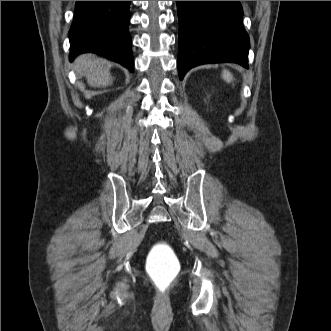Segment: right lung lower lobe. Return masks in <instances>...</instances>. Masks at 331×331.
Instances as JSON below:
<instances>
[{"instance_id": "98d812e1", "label": "right lung lower lobe", "mask_w": 331, "mask_h": 331, "mask_svg": "<svg viewBox=\"0 0 331 331\" xmlns=\"http://www.w3.org/2000/svg\"><path fill=\"white\" fill-rule=\"evenodd\" d=\"M131 1H76L69 31L72 61L81 53L92 52L134 70L128 31Z\"/></svg>"}]
</instances>
